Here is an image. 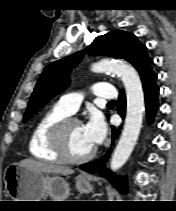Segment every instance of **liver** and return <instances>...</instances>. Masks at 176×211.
<instances>
[{
  "mask_svg": "<svg viewBox=\"0 0 176 211\" xmlns=\"http://www.w3.org/2000/svg\"><path fill=\"white\" fill-rule=\"evenodd\" d=\"M18 164L23 167H26L35 171L43 172V173H53V174H62V175H70L74 173V171L69 167L56 165V164H50V163L37 161L33 159H24V160H21Z\"/></svg>",
  "mask_w": 176,
  "mask_h": 211,
  "instance_id": "obj_1",
  "label": "liver"
}]
</instances>
